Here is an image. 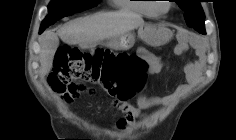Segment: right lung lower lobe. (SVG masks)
Here are the masks:
<instances>
[{
  "label": "right lung lower lobe",
  "mask_w": 236,
  "mask_h": 140,
  "mask_svg": "<svg viewBox=\"0 0 236 140\" xmlns=\"http://www.w3.org/2000/svg\"><path fill=\"white\" fill-rule=\"evenodd\" d=\"M43 31H44V29L42 28V29H40L39 33H42Z\"/></svg>",
  "instance_id": "98d812e1"
}]
</instances>
